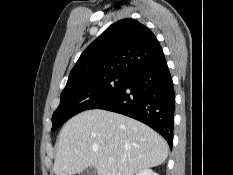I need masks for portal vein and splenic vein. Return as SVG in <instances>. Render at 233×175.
Returning a JSON list of instances; mask_svg holds the SVG:
<instances>
[{"mask_svg":"<svg viewBox=\"0 0 233 175\" xmlns=\"http://www.w3.org/2000/svg\"><path fill=\"white\" fill-rule=\"evenodd\" d=\"M108 162H109V163H113V162H114V159H113V158H109V159H108Z\"/></svg>","mask_w":233,"mask_h":175,"instance_id":"18ae733b","label":"portal vein and splenic vein"}]
</instances>
